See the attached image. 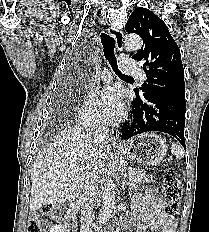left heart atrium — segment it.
<instances>
[{
  "instance_id": "39dd6f15",
  "label": "left heart atrium",
  "mask_w": 209,
  "mask_h": 232,
  "mask_svg": "<svg viewBox=\"0 0 209 232\" xmlns=\"http://www.w3.org/2000/svg\"><path fill=\"white\" fill-rule=\"evenodd\" d=\"M98 104L108 118L122 115L123 103L118 90L113 86H108L98 93Z\"/></svg>"
}]
</instances>
